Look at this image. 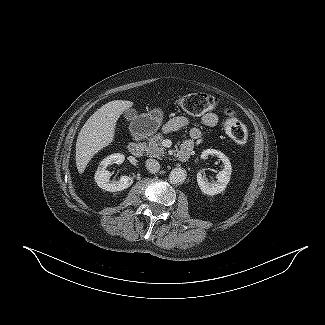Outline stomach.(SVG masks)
I'll list each match as a JSON object with an SVG mask.
<instances>
[{
	"label": "stomach",
	"instance_id": "0dacf381",
	"mask_svg": "<svg viewBox=\"0 0 325 325\" xmlns=\"http://www.w3.org/2000/svg\"><path fill=\"white\" fill-rule=\"evenodd\" d=\"M162 120L163 113L159 109L142 114L131 124V132L139 136L152 135L160 128Z\"/></svg>",
	"mask_w": 325,
	"mask_h": 325
}]
</instances>
